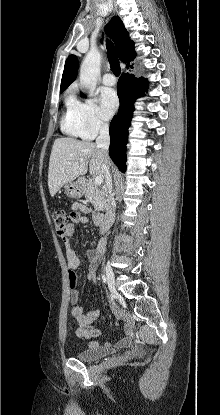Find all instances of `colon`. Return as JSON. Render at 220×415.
Here are the masks:
<instances>
[{"label":"colon","instance_id":"obj_1","mask_svg":"<svg viewBox=\"0 0 220 415\" xmlns=\"http://www.w3.org/2000/svg\"><path fill=\"white\" fill-rule=\"evenodd\" d=\"M52 219L57 234L60 236L63 235L70 222V213L64 210H56L52 214Z\"/></svg>","mask_w":220,"mask_h":415}]
</instances>
